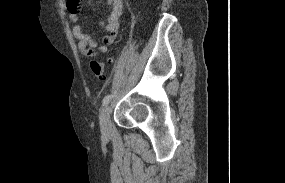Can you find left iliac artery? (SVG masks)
I'll use <instances>...</instances> for the list:
<instances>
[{
  "instance_id": "44dca946",
  "label": "left iliac artery",
  "mask_w": 285,
  "mask_h": 183,
  "mask_svg": "<svg viewBox=\"0 0 285 183\" xmlns=\"http://www.w3.org/2000/svg\"><path fill=\"white\" fill-rule=\"evenodd\" d=\"M112 97H113V95H111V94L106 95V96L103 98L102 105H103V106H106V105L110 102V100L112 99Z\"/></svg>"
}]
</instances>
